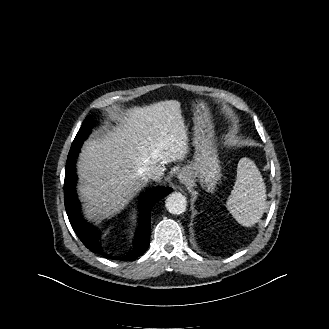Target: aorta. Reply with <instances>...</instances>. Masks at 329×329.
Wrapping results in <instances>:
<instances>
[{
  "mask_svg": "<svg viewBox=\"0 0 329 329\" xmlns=\"http://www.w3.org/2000/svg\"><path fill=\"white\" fill-rule=\"evenodd\" d=\"M186 198L179 192L171 193L165 202L166 209L169 213L180 215L186 211Z\"/></svg>",
  "mask_w": 329,
  "mask_h": 329,
  "instance_id": "obj_1",
  "label": "aorta"
}]
</instances>
